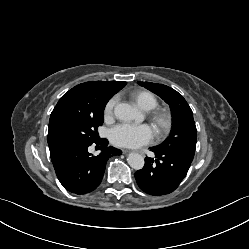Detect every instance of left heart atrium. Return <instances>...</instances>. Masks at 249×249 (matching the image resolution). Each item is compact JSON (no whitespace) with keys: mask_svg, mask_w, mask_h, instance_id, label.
I'll use <instances>...</instances> for the list:
<instances>
[{"mask_svg":"<svg viewBox=\"0 0 249 249\" xmlns=\"http://www.w3.org/2000/svg\"><path fill=\"white\" fill-rule=\"evenodd\" d=\"M154 136L153 129L146 125L119 124L110 130V140L114 145L137 148L148 144Z\"/></svg>","mask_w":249,"mask_h":249,"instance_id":"left-heart-atrium-1","label":"left heart atrium"}]
</instances>
